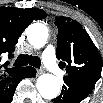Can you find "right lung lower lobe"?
I'll list each match as a JSON object with an SVG mask.
<instances>
[{
	"mask_svg": "<svg viewBox=\"0 0 103 103\" xmlns=\"http://www.w3.org/2000/svg\"><path fill=\"white\" fill-rule=\"evenodd\" d=\"M35 74V70L32 72V74H30L25 71V68H21L17 76L12 77L11 79L0 81V103H10L13 99L14 92L19 82L23 78L34 76Z\"/></svg>",
	"mask_w": 103,
	"mask_h": 103,
	"instance_id": "98d812e1",
	"label": "right lung lower lobe"
}]
</instances>
